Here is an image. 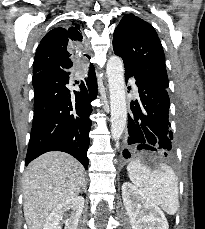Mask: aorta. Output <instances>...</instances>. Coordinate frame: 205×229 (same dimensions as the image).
I'll list each match as a JSON object with an SVG mask.
<instances>
[{"mask_svg": "<svg viewBox=\"0 0 205 229\" xmlns=\"http://www.w3.org/2000/svg\"><path fill=\"white\" fill-rule=\"evenodd\" d=\"M111 108V135L119 140L127 122L124 65L118 56L109 58L106 65Z\"/></svg>", "mask_w": 205, "mask_h": 229, "instance_id": "762f6f07", "label": "aorta"}]
</instances>
